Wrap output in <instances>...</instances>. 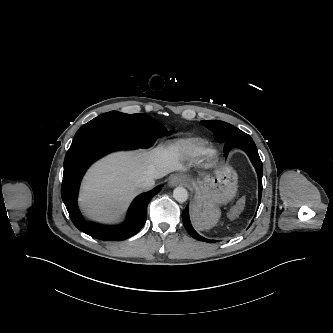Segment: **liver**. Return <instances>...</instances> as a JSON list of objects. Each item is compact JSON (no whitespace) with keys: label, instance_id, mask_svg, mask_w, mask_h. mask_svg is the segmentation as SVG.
I'll return each mask as SVG.
<instances>
[{"label":"liver","instance_id":"1","mask_svg":"<svg viewBox=\"0 0 333 333\" xmlns=\"http://www.w3.org/2000/svg\"><path fill=\"white\" fill-rule=\"evenodd\" d=\"M179 153L161 144L147 151L118 152L97 162L82 185L80 205L87 217L114 222L141 189L143 176L159 179L173 171H184Z\"/></svg>","mask_w":333,"mask_h":333}]
</instances>
